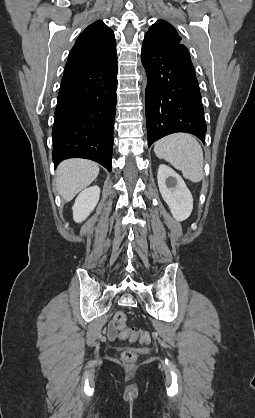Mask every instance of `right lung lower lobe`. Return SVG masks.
Instances as JSON below:
<instances>
[{
  "label": "right lung lower lobe",
  "mask_w": 255,
  "mask_h": 418,
  "mask_svg": "<svg viewBox=\"0 0 255 418\" xmlns=\"http://www.w3.org/2000/svg\"><path fill=\"white\" fill-rule=\"evenodd\" d=\"M117 58L64 71L52 129L55 167L67 158H86L111 171L117 102Z\"/></svg>",
  "instance_id": "obj_1"
}]
</instances>
